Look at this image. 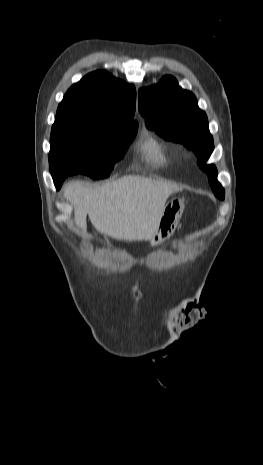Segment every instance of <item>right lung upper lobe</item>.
<instances>
[{
	"instance_id": "1",
	"label": "right lung upper lobe",
	"mask_w": 263,
	"mask_h": 465,
	"mask_svg": "<svg viewBox=\"0 0 263 465\" xmlns=\"http://www.w3.org/2000/svg\"><path fill=\"white\" fill-rule=\"evenodd\" d=\"M135 103L133 85L99 70L74 84L64 95L57 112H80L133 121Z\"/></svg>"
}]
</instances>
